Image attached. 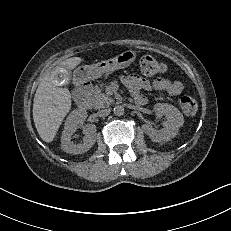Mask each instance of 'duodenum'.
I'll return each mask as SVG.
<instances>
[{
    "label": "duodenum",
    "mask_w": 231,
    "mask_h": 231,
    "mask_svg": "<svg viewBox=\"0 0 231 231\" xmlns=\"http://www.w3.org/2000/svg\"><path fill=\"white\" fill-rule=\"evenodd\" d=\"M92 90V84L88 80L78 79L76 82V92H75V103L81 109H87L89 107V95ZM135 103L139 105H144L146 103V98L138 97Z\"/></svg>",
    "instance_id": "obj_1"
}]
</instances>
